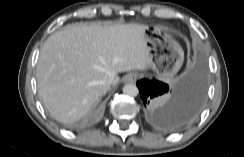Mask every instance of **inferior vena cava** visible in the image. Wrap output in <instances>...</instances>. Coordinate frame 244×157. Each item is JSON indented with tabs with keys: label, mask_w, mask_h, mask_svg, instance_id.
Returning a JSON list of instances; mask_svg holds the SVG:
<instances>
[{
	"label": "inferior vena cava",
	"mask_w": 244,
	"mask_h": 157,
	"mask_svg": "<svg viewBox=\"0 0 244 157\" xmlns=\"http://www.w3.org/2000/svg\"><path fill=\"white\" fill-rule=\"evenodd\" d=\"M114 74H107L104 78H103V83L106 85H111L114 82Z\"/></svg>",
	"instance_id": "inferior-vena-cava-1"
}]
</instances>
